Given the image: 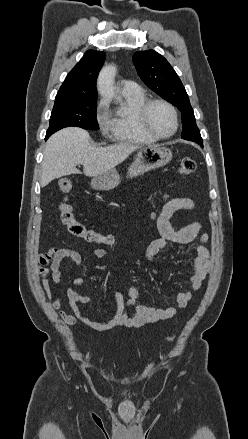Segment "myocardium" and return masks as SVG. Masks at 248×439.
I'll list each match as a JSON object with an SVG mask.
<instances>
[{"mask_svg": "<svg viewBox=\"0 0 248 439\" xmlns=\"http://www.w3.org/2000/svg\"><path fill=\"white\" fill-rule=\"evenodd\" d=\"M154 104H162L164 106H166L174 119V129L172 130L171 133L167 134V135H161L159 133H157L150 125L149 123V119H148V113H149V109L151 108L152 105ZM138 119L139 122L141 124V126L143 127V129L152 137L156 138V139H169L171 138L173 135H175V133L178 130L179 127V118H178V113L176 108L167 100L161 99V98H150V99H146L142 105L140 106L139 110H138Z\"/></svg>", "mask_w": 248, "mask_h": 439, "instance_id": "myocardium-1", "label": "myocardium"}]
</instances>
